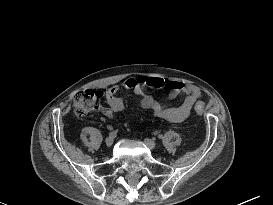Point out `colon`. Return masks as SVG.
<instances>
[{
    "instance_id": "5ec220e1",
    "label": "colon",
    "mask_w": 273,
    "mask_h": 205,
    "mask_svg": "<svg viewBox=\"0 0 273 205\" xmlns=\"http://www.w3.org/2000/svg\"><path fill=\"white\" fill-rule=\"evenodd\" d=\"M103 97L104 93L99 90H81L77 92L73 97L75 113L82 117L98 111ZM195 110L198 114H202L205 111V107L202 103H197Z\"/></svg>"
}]
</instances>
